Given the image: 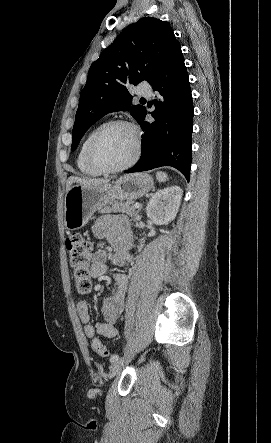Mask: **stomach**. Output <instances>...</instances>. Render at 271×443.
Listing matches in <instances>:
<instances>
[{
  "label": "stomach",
  "mask_w": 271,
  "mask_h": 443,
  "mask_svg": "<svg viewBox=\"0 0 271 443\" xmlns=\"http://www.w3.org/2000/svg\"><path fill=\"white\" fill-rule=\"evenodd\" d=\"M154 188L148 174L121 176L115 184L97 186H72L64 200V225L66 229H80L89 222L96 210L106 204L121 200H138Z\"/></svg>",
  "instance_id": "1"
}]
</instances>
